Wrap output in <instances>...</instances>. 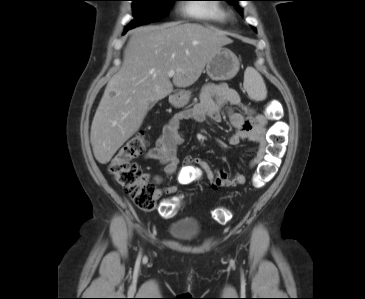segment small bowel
I'll return each mask as SVG.
<instances>
[{"instance_id": "small-bowel-1", "label": "small bowel", "mask_w": 365, "mask_h": 299, "mask_svg": "<svg viewBox=\"0 0 365 299\" xmlns=\"http://www.w3.org/2000/svg\"><path fill=\"white\" fill-rule=\"evenodd\" d=\"M229 105L236 106L240 110H234L228 107ZM224 108H226L229 122L235 128L228 138L229 144L237 146L243 141L256 143L257 150L249 166L250 168L258 166L263 161L267 150V117L245 104L236 90L214 83L204 86L200 94V102L195 107L180 112L168 120L162 128L155 147L146 153L145 159L158 161L167 175H173L180 163L177 148L184 141L181 132L182 122L185 120L197 123L205 120L218 121ZM144 176L148 180L151 179L149 174ZM201 177L205 178L213 188L236 187L247 180V175L242 172L229 176L222 170L213 171L208 163L200 158L185 157L182 173L178 177L179 184H187ZM154 180L158 181L159 178L155 177ZM177 190L176 185L159 188L156 196L160 198L166 194H174Z\"/></svg>"}]
</instances>
